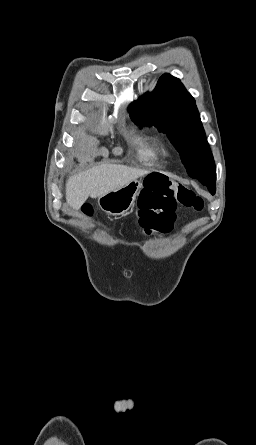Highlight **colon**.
I'll return each mask as SVG.
<instances>
[{
    "mask_svg": "<svg viewBox=\"0 0 256 445\" xmlns=\"http://www.w3.org/2000/svg\"><path fill=\"white\" fill-rule=\"evenodd\" d=\"M138 206L141 229L147 234L154 231L164 234L171 230L178 208L200 211L203 201L190 188L165 176L153 175L146 179L138 197ZM82 211L90 215L92 210L84 204Z\"/></svg>",
    "mask_w": 256,
    "mask_h": 445,
    "instance_id": "colon-1",
    "label": "colon"
}]
</instances>
